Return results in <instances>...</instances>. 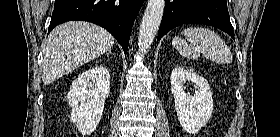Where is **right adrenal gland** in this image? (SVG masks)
Here are the masks:
<instances>
[{"label": "right adrenal gland", "instance_id": "2a0ac1e0", "mask_svg": "<svg viewBox=\"0 0 280 137\" xmlns=\"http://www.w3.org/2000/svg\"><path fill=\"white\" fill-rule=\"evenodd\" d=\"M108 54H114L112 51H111V49L108 51Z\"/></svg>", "mask_w": 280, "mask_h": 137}]
</instances>
